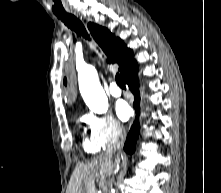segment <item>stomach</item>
I'll return each mask as SVG.
<instances>
[{
	"label": "stomach",
	"instance_id": "obj_1",
	"mask_svg": "<svg viewBox=\"0 0 221 193\" xmlns=\"http://www.w3.org/2000/svg\"><path fill=\"white\" fill-rule=\"evenodd\" d=\"M65 103H76V98H65Z\"/></svg>",
	"mask_w": 221,
	"mask_h": 193
}]
</instances>
